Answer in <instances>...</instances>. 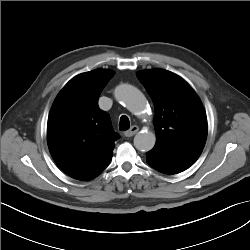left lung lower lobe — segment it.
<instances>
[{"mask_svg":"<svg viewBox=\"0 0 250 250\" xmlns=\"http://www.w3.org/2000/svg\"><path fill=\"white\" fill-rule=\"evenodd\" d=\"M197 159L198 157L193 155H174L153 149L146 153V161L152 168L170 175L186 170Z\"/></svg>","mask_w":250,"mask_h":250,"instance_id":"0a47b994","label":"left lung lower lobe"}]
</instances>
